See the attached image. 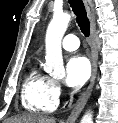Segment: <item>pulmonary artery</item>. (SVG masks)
I'll return each instance as SVG.
<instances>
[{"label": "pulmonary artery", "mask_w": 118, "mask_h": 123, "mask_svg": "<svg viewBox=\"0 0 118 123\" xmlns=\"http://www.w3.org/2000/svg\"><path fill=\"white\" fill-rule=\"evenodd\" d=\"M61 45L67 51H74L79 47L80 41L76 35L68 34L63 38Z\"/></svg>", "instance_id": "obj_1"}]
</instances>
